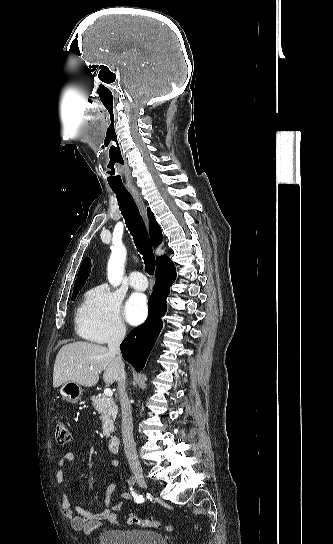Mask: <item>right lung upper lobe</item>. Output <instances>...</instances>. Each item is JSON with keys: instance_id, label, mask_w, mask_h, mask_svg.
<instances>
[{"instance_id": "cb5924a9", "label": "right lung upper lobe", "mask_w": 333, "mask_h": 544, "mask_svg": "<svg viewBox=\"0 0 333 544\" xmlns=\"http://www.w3.org/2000/svg\"><path fill=\"white\" fill-rule=\"evenodd\" d=\"M147 213H148V217H149L150 236H151L153 245L157 246L163 240L161 228H160L159 224L156 222L155 217H154L153 213L151 212V210L149 208L147 209ZM169 264H172V261L166 256H161L157 260V265H158L157 270L164 267V266H166V265H169ZM90 270H91L90 259L85 258L83 260L80 268H79V272H78V275H77V279H76V282H75V285H74L73 292L79 291L84 286V284H85V282H86V280H87V278H88V276L90 274Z\"/></svg>"}]
</instances>
